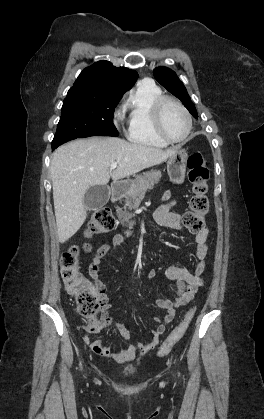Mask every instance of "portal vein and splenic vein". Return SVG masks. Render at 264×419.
Returning <instances> with one entry per match:
<instances>
[{"mask_svg":"<svg viewBox=\"0 0 264 419\" xmlns=\"http://www.w3.org/2000/svg\"><path fill=\"white\" fill-rule=\"evenodd\" d=\"M118 163L117 162H113L110 165V170H114L117 167Z\"/></svg>","mask_w":264,"mask_h":419,"instance_id":"portal-vein-and-splenic-vein-1","label":"portal vein and splenic vein"}]
</instances>
